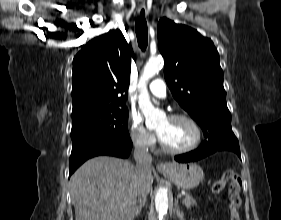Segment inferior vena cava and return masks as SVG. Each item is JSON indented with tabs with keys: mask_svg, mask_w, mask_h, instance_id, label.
I'll use <instances>...</instances> for the list:
<instances>
[{
	"mask_svg": "<svg viewBox=\"0 0 281 220\" xmlns=\"http://www.w3.org/2000/svg\"><path fill=\"white\" fill-rule=\"evenodd\" d=\"M134 159L137 169V193L141 199L146 200V196L151 189L149 177L151 176L152 156L141 145H135Z\"/></svg>",
	"mask_w": 281,
	"mask_h": 220,
	"instance_id": "1",
	"label": "inferior vena cava"
}]
</instances>
